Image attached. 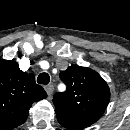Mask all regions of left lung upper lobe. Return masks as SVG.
<instances>
[{"label": "left lung upper lobe", "mask_w": 130, "mask_h": 130, "mask_svg": "<svg viewBox=\"0 0 130 130\" xmlns=\"http://www.w3.org/2000/svg\"><path fill=\"white\" fill-rule=\"evenodd\" d=\"M66 84L65 92L53 97L55 109L96 122L103 115L110 100V89L94 70L72 64L60 72Z\"/></svg>", "instance_id": "1"}]
</instances>
